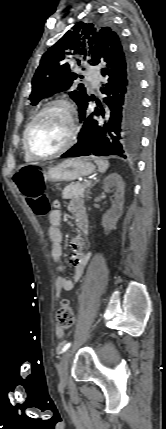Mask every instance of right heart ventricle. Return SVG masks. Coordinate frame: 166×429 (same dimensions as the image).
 I'll return each instance as SVG.
<instances>
[{
  "mask_svg": "<svg viewBox=\"0 0 166 429\" xmlns=\"http://www.w3.org/2000/svg\"><path fill=\"white\" fill-rule=\"evenodd\" d=\"M26 130V129H25ZM24 133H25V131H24ZM25 151V150H24ZM24 159H25V161H27V162H31V161H33V159H31L27 154H26V152H24Z\"/></svg>",
  "mask_w": 166,
  "mask_h": 429,
  "instance_id": "obj_1",
  "label": "right heart ventricle"
}]
</instances>
